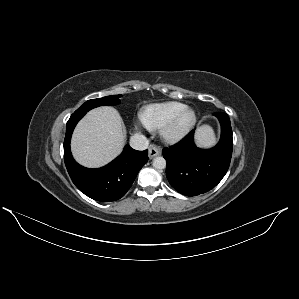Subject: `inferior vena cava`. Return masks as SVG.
Here are the masks:
<instances>
[{
  "label": "inferior vena cava",
  "mask_w": 299,
  "mask_h": 299,
  "mask_svg": "<svg viewBox=\"0 0 299 299\" xmlns=\"http://www.w3.org/2000/svg\"><path fill=\"white\" fill-rule=\"evenodd\" d=\"M149 145V140L141 134H135L130 139V146L136 150H145Z\"/></svg>",
  "instance_id": "1"
}]
</instances>
